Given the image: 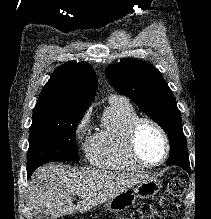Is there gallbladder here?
Wrapping results in <instances>:
<instances>
[{"mask_svg": "<svg viewBox=\"0 0 211 219\" xmlns=\"http://www.w3.org/2000/svg\"><path fill=\"white\" fill-rule=\"evenodd\" d=\"M35 219H51L49 212L46 210V208H42L38 211Z\"/></svg>", "mask_w": 211, "mask_h": 219, "instance_id": "obj_1", "label": "gallbladder"}]
</instances>
